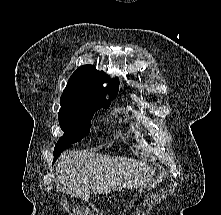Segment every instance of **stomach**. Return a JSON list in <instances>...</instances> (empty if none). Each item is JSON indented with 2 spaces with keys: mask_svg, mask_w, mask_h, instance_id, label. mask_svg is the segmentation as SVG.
<instances>
[{
  "mask_svg": "<svg viewBox=\"0 0 221 215\" xmlns=\"http://www.w3.org/2000/svg\"><path fill=\"white\" fill-rule=\"evenodd\" d=\"M161 169L155 168V167H149L148 171L143 179V182L141 184V188H145L150 183H155L161 181Z\"/></svg>",
  "mask_w": 221,
  "mask_h": 215,
  "instance_id": "obj_1",
  "label": "stomach"
}]
</instances>
